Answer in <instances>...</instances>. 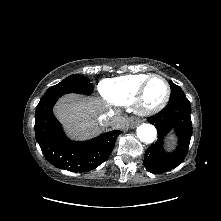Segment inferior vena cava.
Returning a JSON list of instances; mask_svg holds the SVG:
<instances>
[{
    "instance_id": "1",
    "label": "inferior vena cava",
    "mask_w": 221,
    "mask_h": 221,
    "mask_svg": "<svg viewBox=\"0 0 221 221\" xmlns=\"http://www.w3.org/2000/svg\"><path fill=\"white\" fill-rule=\"evenodd\" d=\"M112 112H108L107 114H102L100 115L99 117V120L101 122V124H104V125H108V124H111V121H112Z\"/></svg>"
}]
</instances>
